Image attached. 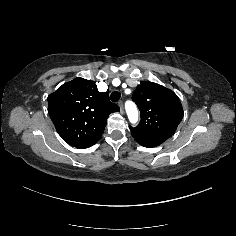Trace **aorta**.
I'll use <instances>...</instances> for the list:
<instances>
[{
    "instance_id": "1",
    "label": "aorta",
    "mask_w": 236,
    "mask_h": 236,
    "mask_svg": "<svg viewBox=\"0 0 236 236\" xmlns=\"http://www.w3.org/2000/svg\"><path fill=\"white\" fill-rule=\"evenodd\" d=\"M125 108H126V113L128 115V118L130 120L131 123H135L138 120V111L136 108V105L131 102V101H127L125 103Z\"/></svg>"
}]
</instances>
